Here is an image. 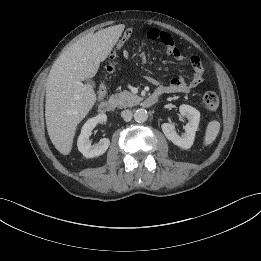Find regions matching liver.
I'll return each instance as SVG.
<instances>
[{
	"instance_id": "6515ba94",
	"label": "liver",
	"mask_w": 261,
	"mask_h": 261,
	"mask_svg": "<svg viewBox=\"0 0 261 261\" xmlns=\"http://www.w3.org/2000/svg\"><path fill=\"white\" fill-rule=\"evenodd\" d=\"M124 30L123 25L85 36L65 50L53 64L46 82L45 119L48 135L63 155L72 149L77 125L96 102L92 86L82 81L96 75Z\"/></svg>"
}]
</instances>
